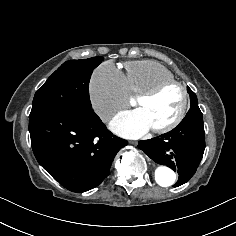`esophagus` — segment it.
I'll list each match as a JSON object with an SVG mask.
<instances>
[{
    "label": "esophagus",
    "instance_id": "obj_1",
    "mask_svg": "<svg viewBox=\"0 0 236 236\" xmlns=\"http://www.w3.org/2000/svg\"><path fill=\"white\" fill-rule=\"evenodd\" d=\"M129 143H130L131 145H137L138 142H137V141H130Z\"/></svg>",
    "mask_w": 236,
    "mask_h": 236
}]
</instances>
